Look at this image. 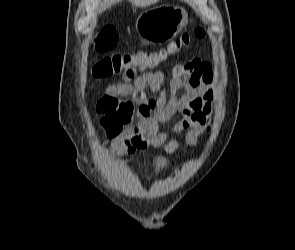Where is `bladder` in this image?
<instances>
[{
    "instance_id": "obj_1",
    "label": "bladder",
    "mask_w": 295,
    "mask_h": 250,
    "mask_svg": "<svg viewBox=\"0 0 295 250\" xmlns=\"http://www.w3.org/2000/svg\"><path fill=\"white\" fill-rule=\"evenodd\" d=\"M151 165L153 168H156L158 170H166L170 168L171 163L168 159L164 157H153L151 159Z\"/></svg>"
}]
</instances>
